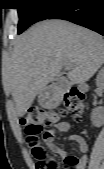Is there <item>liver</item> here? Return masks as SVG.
Masks as SVG:
<instances>
[{"label": "liver", "instance_id": "6515ba94", "mask_svg": "<svg viewBox=\"0 0 104 169\" xmlns=\"http://www.w3.org/2000/svg\"><path fill=\"white\" fill-rule=\"evenodd\" d=\"M104 63V38L64 20H45L18 37L3 72L17 116L25 115L37 94L64 66L71 84L88 81Z\"/></svg>", "mask_w": 104, "mask_h": 169}]
</instances>
